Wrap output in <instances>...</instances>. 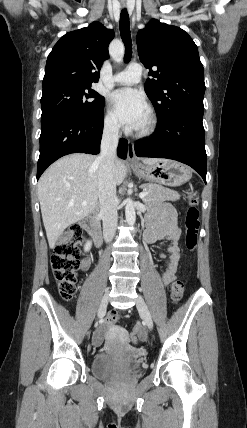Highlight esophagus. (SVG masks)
Listing matches in <instances>:
<instances>
[{
  "label": "esophagus",
  "instance_id": "1",
  "mask_svg": "<svg viewBox=\"0 0 247 428\" xmlns=\"http://www.w3.org/2000/svg\"><path fill=\"white\" fill-rule=\"evenodd\" d=\"M127 162L131 165L138 163L135 157L134 144L131 141L128 142Z\"/></svg>",
  "mask_w": 247,
  "mask_h": 428
}]
</instances>
